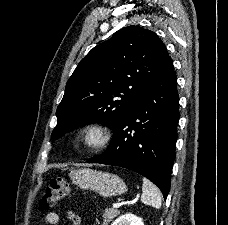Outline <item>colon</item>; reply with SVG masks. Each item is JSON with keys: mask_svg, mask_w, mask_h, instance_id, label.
<instances>
[{"mask_svg": "<svg viewBox=\"0 0 228 225\" xmlns=\"http://www.w3.org/2000/svg\"><path fill=\"white\" fill-rule=\"evenodd\" d=\"M68 192L69 187L62 178H51L47 182L45 192L40 199V207L47 209L49 206L65 198Z\"/></svg>", "mask_w": 228, "mask_h": 225, "instance_id": "colon-1", "label": "colon"}]
</instances>
